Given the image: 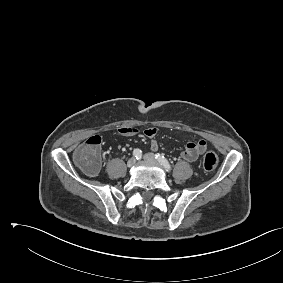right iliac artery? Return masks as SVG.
<instances>
[{
	"label": "right iliac artery",
	"instance_id": "right-iliac-artery-1",
	"mask_svg": "<svg viewBox=\"0 0 283 283\" xmlns=\"http://www.w3.org/2000/svg\"><path fill=\"white\" fill-rule=\"evenodd\" d=\"M133 156H134L136 159L141 158V156H142V151H141L140 149H134V151H133Z\"/></svg>",
	"mask_w": 283,
	"mask_h": 283
}]
</instances>
